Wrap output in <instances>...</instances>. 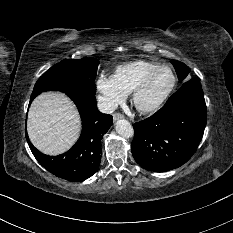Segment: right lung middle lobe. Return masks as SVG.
<instances>
[{"label":"right lung middle lobe","instance_id":"dd1d6c3e","mask_svg":"<svg viewBox=\"0 0 233 233\" xmlns=\"http://www.w3.org/2000/svg\"><path fill=\"white\" fill-rule=\"evenodd\" d=\"M99 61L94 58L63 60L45 72L34 86L31 99L44 91L56 90L66 94L86 92L95 94Z\"/></svg>","mask_w":233,"mask_h":233}]
</instances>
